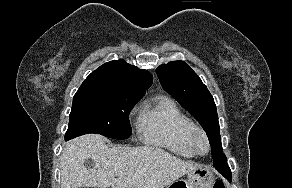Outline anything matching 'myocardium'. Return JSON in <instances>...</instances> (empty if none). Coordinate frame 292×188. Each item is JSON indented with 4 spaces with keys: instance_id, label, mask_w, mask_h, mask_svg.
<instances>
[{
    "instance_id": "1",
    "label": "myocardium",
    "mask_w": 292,
    "mask_h": 188,
    "mask_svg": "<svg viewBox=\"0 0 292 188\" xmlns=\"http://www.w3.org/2000/svg\"><path fill=\"white\" fill-rule=\"evenodd\" d=\"M199 137H201L206 143V150L205 151L200 150V148H199V146L197 144V139ZM187 140H188V143H189L191 149L196 154L206 155L211 150V144H210L209 137H208L206 131L203 128L199 127V126L194 125L193 127H191L188 130Z\"/></svg>"
}]
</instances>
